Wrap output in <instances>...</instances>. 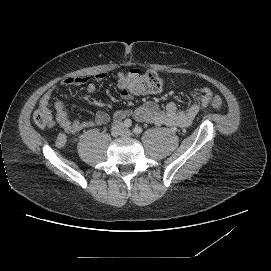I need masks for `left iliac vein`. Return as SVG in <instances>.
Masks as SVG:
<instances>
[{"instance_id": "4c4485c4", "label": "left iliac vein", "mask_w": 271, "mask_h": 271, "mask_svg": "<svg viewBox=\"0 0 271 271\" xmlns=\"http://www.w3.org/2000/svg\"><path fill=\"white\" fill-rule=\"evenodd\" d=\"M123 135L129 137V136H132L133 134H132V132H131L130 130L125 129V130L123 131Z\"/></svg>"}]
</instances>
